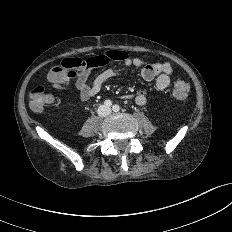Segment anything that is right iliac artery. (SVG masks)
Wrapping results in <instances>:
<instances>
[{
    "label": "right iliac artery",
    "instance_id": "1",
    "mask_svg": "<svg viewBox=\"0 0 232 232\" xmlns=\"http://www.w3.org/2000/svg\"><path fill=\"white\" fill-rule=\"evenodd\" d=\"M104 104L105 106L110 107L112 105V102L110 100H105Z\"/></svg>",
    "mask_w": 232,
    "mask_h": 232
}]
</instances>
